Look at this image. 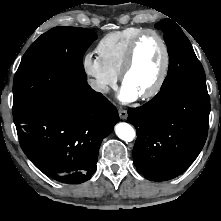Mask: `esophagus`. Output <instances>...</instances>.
<instances>
[{"mask_svg":"<svg viewBox=\"0 0 221 221\" xmlns=\"http://www.w3.org/2000/svg\"><path fill=\"white\" fill-rule=\"evenodd\" d=\"M119 116L122 120L127 119V116H128L127 111L123 109H119Z\"/></svg>","mask_w":221,"mask_h":221,"instance_id":"34e87169","label":"esophagus"}]
</instances>
